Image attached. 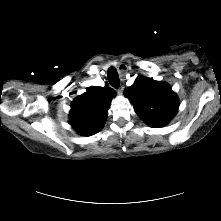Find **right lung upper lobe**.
Masks as SVG:
<instances>
[{"label":"right lung upper lobe","mask_w":221,"mask_h":221,"mask_svg":"<svg viewBox=\"0 0 221 221\" xmlns=\"http://www.w3.org/2000/svg\"><path fill=\"white\" fill-rule=\"evenodd\" d=\"M116 92L108 87H90L71 104L70 124L83 136H91L104 126L110 101Z\"/></svg>","instance_id":"right-lung-upper-lobe-1"}]
</instances>
